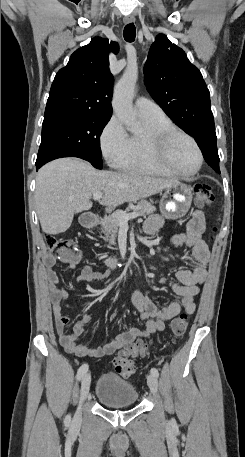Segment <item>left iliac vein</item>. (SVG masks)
<instances>
[{"label":"left iliac vein","mask_w":245,"mask_h":457,"mask_svg":"<svg viewBox=\"0 0 245 457\" xmlns=\"http://www.w3.org/2000/svg\"><path fill=\"white\" fill-rule=\"evenodd\" d=\"M148 383H149V388H150V391L152 392V394L154 396H157L158 395V381H157V377L154 376L153 374H150L148 375Z\"/></svg>","instance_id":"4c4485c4"}]
</instances>
